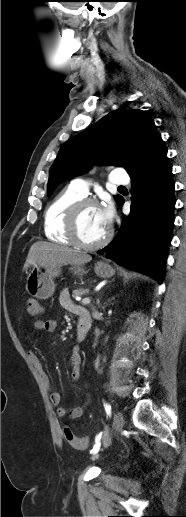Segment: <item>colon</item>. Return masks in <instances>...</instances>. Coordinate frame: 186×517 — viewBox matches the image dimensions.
<instances>
[{
	"label": "colon",
	"instance_id": "1",
	"mask_svg": "<svg viewBox=\"0 0 186 517\" xmlns=\"http://www.w3.org/2000/svg\"><path fill=\"white\" fill-rule=\"evenodd\" d=\"M26 313L30 318H35L41 315L42 308L36 299H29L26 305ZM64 438L68 444L75 450H85L89 445L87 437H77L69 427L64 428Z\"/></svg>",
	"mask_w": 186,
	"mask_h": 517
}]
</instances>
